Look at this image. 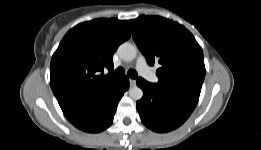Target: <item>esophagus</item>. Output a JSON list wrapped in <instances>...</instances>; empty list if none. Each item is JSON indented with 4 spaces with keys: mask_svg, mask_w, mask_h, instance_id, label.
Segmentation results:
<instances>
[{
    "mask_svg": "<svg viewBox=\"0 0 261 150\" xmlns=\"http://www.w3.org/2000/svg\"><path fill=\"white\" fill-rule=\"evenodd\" d=\"M129 82H130L131 87L136 86V80L135 79H130Z\"/></svg>",
    "mask_w": 261,
    "mask_h": 150,
    "instance_id": "1",
    "label": "esophagus"
}]
</instances>
